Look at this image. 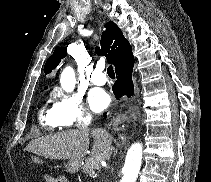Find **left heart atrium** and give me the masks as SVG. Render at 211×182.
Instances as JSON below:
<instances>
[{"instance_id":"obj_1","label":"left heart atrium","mask_w":211,"mask_h":182,"mask_svg":"<svg viewBox=\"0 0 211 182\" xmlns=\"http://www.w3.org/2000/svg\"><path fill=\"white\" fill-rule=\"evenodd\" d=\"M109 96L102 90H93L88 95V103L93 112H101L109 104Z\"/></svg>"}]
</instances>
